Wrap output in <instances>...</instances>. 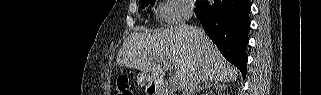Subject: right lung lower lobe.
<instances>
[{"instance_id": "right-lung-lower-lobe-1", "label": "right lung lower lobe", "mask_w": 321, "mask_h": 95, "mask_svg": "<svg viewBox=\"0 0 321 95\" xmlns=\"http://www.w3.org/2000/svg\"><path fill=\"white\" fill-rule=\"evenodd\" d=\"M249 0L199 1L196 16L210 39L223 56L235 65L245 78L247 72L246 45L249 42Z\"/></svg>"}]
</instances>
